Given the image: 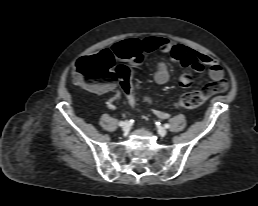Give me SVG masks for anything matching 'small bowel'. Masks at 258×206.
<instances>
[{
    "label": "small bowel",
    "mask_w": 258,
    "mask_h": 206,
    "mask_svg": "<svg viewBox=\"0 0 258 206\" xmlns=\"http://www.w3.org/2000/svg\"><path fill=\"white\" fill-rule=\"evenodd\" d=\"M169 53L174 62L184 67H189L195 72H202L205 67L208 68L209 76L213 81H220L224 76V72L220 64L213 57L200 53L197 50L184 45L174 44L169 39L159 36H149L144 39L128 38L115 43L111 49L103 50L113 57L120 59L140 58L143 53L152 52ZM170 73L168 65L165 61H160L154 74V80L157 84L163 85L169 81ZM192 83V77L189 74H183L179 78V84L183 88H188ZM113 89L112 85H105L100 92H107ZM110 108H114L113 101L108 102ZM157 116L166 118L167 113L157 111Z\"/></svg>",
    "instance_id": "1"
}]
</instances>
